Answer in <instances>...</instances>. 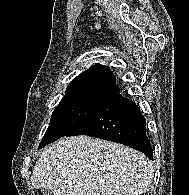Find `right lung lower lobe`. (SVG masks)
<instances>
[{"mask_svg":"<svg viewBox=\"0 0 189 195\" xmlns=\"http://www.w3.org/2000/svg\"><path fill=\"white\" fill-rule=\"evenodd\" d=\"M118 92L109 95L78 129L66 136L88 135L121 143L153 159L140 109Z\"/></svg>","mask_w":189,"mask_h":195,"instance_id":"1","label":"right lung lower lobe"}]
</instances>
